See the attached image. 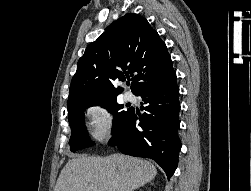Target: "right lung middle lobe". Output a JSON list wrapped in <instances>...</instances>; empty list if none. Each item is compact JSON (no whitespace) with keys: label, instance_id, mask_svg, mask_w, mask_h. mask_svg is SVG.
Listing matches in <instances>:
<instances>
[{"label":"right lung middle lobe","instance_id":"1","mask_svg":"<svg viewBox=\"0 0 251 191\" xmlns=\"http://www.w3.org/2000/svg\"><path fill=\"white\" fill-rule=\"evenodd\" d=\"M95 105L106 108L113 115L112 133H114L127 120L133 110L132 108H129L127 111L122 110L124 106L118 104L116 99L96 104H87L68 108L69 125L71 128L69 145L72 152L93 146L95 144L91 141L88 135L84 121V109Z\"/></svg>","mask_w":251,"mask_h":191}]
</instances>
